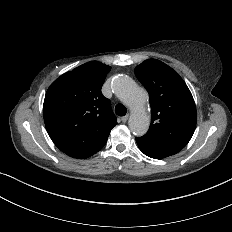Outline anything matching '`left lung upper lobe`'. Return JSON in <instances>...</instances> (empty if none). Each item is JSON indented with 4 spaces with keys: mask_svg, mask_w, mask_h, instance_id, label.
Instances as JSON below:
<instances>
[{
    "mask_svg": "<svg viewBox=\"0 0 232 232\" xmlns=\"http://www.w3.org/2000/svg\"><path fill=\"white\" fill-rule=\"evenodd\" d=\"M149 94L152 119L144 137L182 150L190 141L197 121L192 94L183 79L168 65L148 59L135 69Z\"/></svg>",
    "mask_w": 232,
    "mask_h": 232,
    "instance_id": "5c2ea615",
    "label": "left lung upper lobe"
}]
</instances>
